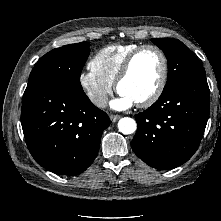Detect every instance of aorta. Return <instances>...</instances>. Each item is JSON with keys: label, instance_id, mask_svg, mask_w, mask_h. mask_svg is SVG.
Instances as JSON below:
<instances>
[{"label": "aorta", "instance_id": "762f6f07", "mask_svg": "<svg viewBox=\"0 0 221 221\" xmlns=\"http://www.w3.org/2000/svg\"><path fill=\"white\" fill-rule=\"evenodd\" d=\"M118 129L125 135L132 134L137 129L136 121L130 117L121 118L118 122Z\"/></svg>", "mask_w": 221, "mask_h": 221}]
</instances>
